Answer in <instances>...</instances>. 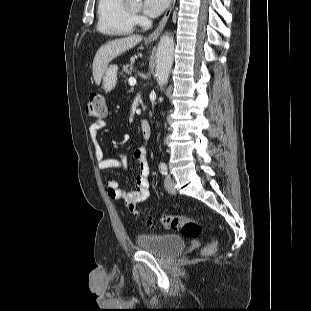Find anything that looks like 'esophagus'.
Listing matches in <instances>:
<instances>
[{"label":"esophagus","instance_id":"1","mask_svg":"<svg viewBox=\"0 0 311 311\" xmlns=\"http://www.w3.org/2000/svg\"><path fill=\"white\" fill-rule=\"evenodd\" d=\"M175 2L176 0H171V3L168 7V9L166 10L165 12V15L163 16L162 20L160 21L158 27L156 28L155 31H153L151 34H149V36L147 37V40L148 41H154L156 40L159 35L162 33L166 23H167V20L172 12V9L174 8V5H175Z\"/></svg>","mask_w":311,"mask_h":311}]
</instances>
